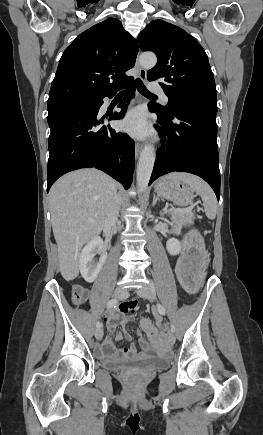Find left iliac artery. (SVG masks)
I'll return each mask as SVG.
<instances>
[{
    "instance_id": "44dca946",
    "label": "left iliac artery",
    "mask_w": 263,
    "mask_h": 435,
    "mask_svg": "<svg viewBox=\"0 0 263 435\" xmlns=\"http://www.w3.org/2000/svg\"><path fill=\"white\" fill-rule=\"evenodd\" d=\"M150 287L152 292L155 294V287L153 282L150 283ZM157 309L160 314L165 315L166 313L165 308L161 304H157ZM171 332L173 333L175 332V326L173 324L171 325Z\"/></svg>"
}]
</instances>
